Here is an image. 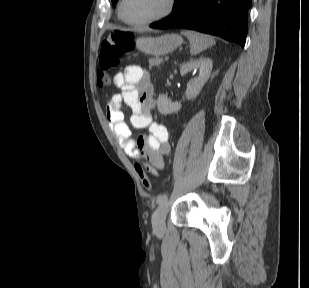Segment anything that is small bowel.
I'll list each match as a JSON object with an SVG mask.
<instances>
[{"label": "small bowel", "mask_w": 309, "mask_h": 288, "mask_svg": "<svg viewBox=\"0 0 309 288\" xmlns=\"http://www.w3.org/2000/svg\"><path fill=\"white\" fill-rule=\"evenodd\" d=\"M120 92L110 96L107 105V123L127 156L145 160L146 170L157 173L164 166V156L170 153L169 133L165 125L152 119L156 107L154 89L149 76L137 65L127 66L116 76ZM123 105L132 110L130 123L134 128H148L149 134L139 139L131 136L124 121Z\"/></svg>", "instance_id": "small-bowel-1"}]
</instances>
